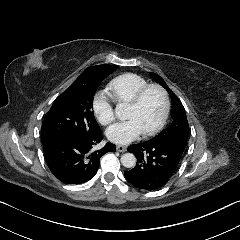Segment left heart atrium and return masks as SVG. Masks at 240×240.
I'll return each mask as SVG.
<instances>
[{
    "label": "left heart atrium",
    "mask_w": 240,
    "mask_h": 240,
    "mask_svg": "<svg viewBox=\"0 0 240 240\" xmlns=\"http://www.w3.org/2000/svg\"><path fill=\"white\" fill-rule=\"evenodd\" d=\"M141 132L142 130L134 120H127L110 128L106 135L111 142L125 145L135 140Z\"/></svg>",
    "instance_id": "left-heart-atrium-1"
}]
</instances>
